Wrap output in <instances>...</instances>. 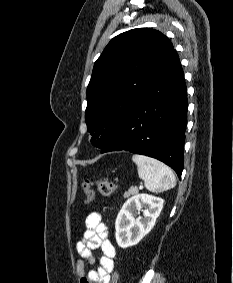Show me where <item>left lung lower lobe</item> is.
<instances>
[{
	"label": "left lung lower lobe",
	"mask_w": 233,
	"mask_h": 283,
	"mask_svg": "<svg viewBox=\"0 0 233 283\" xmlns=\"http://www.w3.org/2000/svg\"><path fill=\"white\" fill-rule=\"evenodd\" d=\"M187 90L175 49L148 79L115 137L102 149L156 158L181 178L187 124Z\"/></svg>",
	"instance_id": "1"
}]
</instances>
